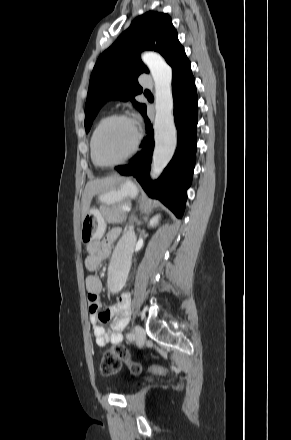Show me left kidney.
Instances as JSON below:
<instances>
[{
    "instance_id": "5707ae66",
    "label": "left kidney",
    "mask_w": 291,
    "mask_h": 440,
    "mask_svg": "<svg viewBox=\"0 0 291 440\" xmlns=\"http://www.w3.org/2000/svg\"><path fill=\"white\" fill-rule=\"evenodd\" d=\"M159 217H160V215H156V216H154V217L150 220L149 226H150V227H154V226H156V225L158 224Z\"/></svg>"
}]
</instances>
